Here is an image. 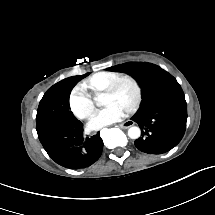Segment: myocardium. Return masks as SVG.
<instances>
[{
    "instance_id": "obj_1",
    "label": "myocardium",
    "mask_w": 215,
    "mask_h": 215,
    "mask_svg": "<svg viewBox=\"0 0 215 215\" xmlns=\"http://www.w3.org/2000/svg\"><path fill=\"white\" fill-rule=\"evenodd\" d=\"M121 86H125L129 90V98L123 105L127 107L126 109L127 113H132L139 100V88L136 81L133 78L129 76L115 77L112 80V83L107 84L105 90L106 91L110 90V94H115L116 91Z\"/></svg>"
}]
</instances>
